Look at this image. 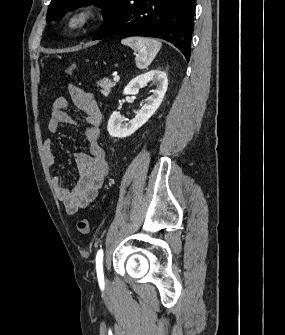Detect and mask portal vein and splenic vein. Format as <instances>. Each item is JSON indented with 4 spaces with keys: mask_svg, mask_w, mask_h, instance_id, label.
Returning a JSON list of instances; mask_svg holds the SVG:
<instances>
[{
    "mask_svg": "<svg viewBox=\"0 0 285 335\" xmlns=\"http://www.w3.org/2000/svg\"><path fill=\"white\" fill-rule=\"evenodd\" d=\"M113 80H114V82H119L120 78H119V76H117V74H116V76H114Z\"/></svg>",
    "mask_w": 285,
    "mask_h": 335,
    "instance_id": "obj_1",
    "label": "portal vein and splenic vein"
}]
</instances>
